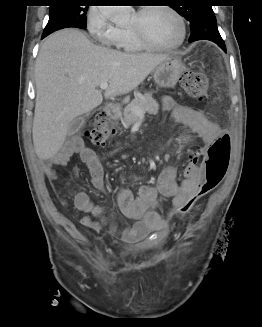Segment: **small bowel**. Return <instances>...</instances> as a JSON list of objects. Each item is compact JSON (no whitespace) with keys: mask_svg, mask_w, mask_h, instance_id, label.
<instances>
[{"mask_svg":"<svg viewBox=\"0 0 262 327\" xmlns=\"http://www.w3.org/2000/svg\"><path fill=\"white\" fill-rule=\"evenodd\" d=\"M162 107L166 111H172L174 118L193 132L197 133L205 146L204 153H186L185 159L189 164L182 171L184 180H177V172L174 167H167L160 174L155 186H144L140 188L137 195L128 189H121L116 196V206L128 219L134 220L131 227H121L114 216H107L103 210L94 205L89 195L79 192L74 199V205L80 212L84 213L81 223L95 231L101 227L99 222L93 219L96 216L102 224L108 226L113 234H118L123 240L135 242L153 231H163L166 228L167 220L163 219L157 211L158 197H166L171 200L169 216L181 214L178 211L180 206H185L188 195L195 193L199 182H203L204 168L202 161L205 159L207 148L212 143H217L218 136L223 131L217 124L210 121L201 111L192 107L177 103L173 98L165 96L162 99ZM73 154H78L83 163L87 166L92 185L96 189L104 187V168L98 160L95 152L86 146L80 137L74 136L63 146L45 167V175L49 182L57 179L54 166H64L68 163ZM123 181L124 178L122 177ZM65 205V201H62Z\"/></svg>","mask_w":262,"mask_h":327,"instance_id":"obj_1","label":"small bowel"}]
</instances>
